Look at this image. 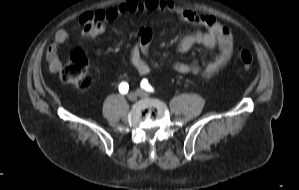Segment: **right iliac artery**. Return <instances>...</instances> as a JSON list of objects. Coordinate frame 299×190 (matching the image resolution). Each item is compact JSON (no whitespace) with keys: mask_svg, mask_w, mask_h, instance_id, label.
Here are the masks:
<instances>
[{"mask_svg":"<svg viewBox=\"0 0 299 190\" xmlns=\"http://www.w3.org/2000/svg\"><path fill=\"white\" fill-rule=\"evenodd\" d=\"M129 90V85L128 83L126 82H122L120 85H119V92L122 93V94H126Z\"/></svg>","mask_w":299,"mask_h":190,"instance_id":"1","label":"right iliac artery"}]
</instances>
